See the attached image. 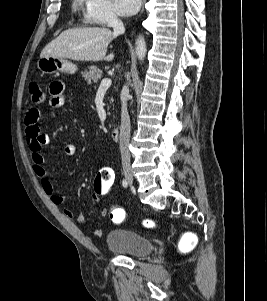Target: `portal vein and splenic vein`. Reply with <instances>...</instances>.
Segmentation results:
<instances>
[{
    "label": "portal vein and splenic vein",
    "mask_w": 267,
    "mask_h": 301,
    "mask_svg": "<svg viewBox=\"0 0 267 301\" xmlns=\"http://www.w3.org/2000/svg\"><path fill=\"white\" fill-rule=\"evenodd\" d=\"M111 83H112L111 79H109V78L103 79L99 86V90L100 89H108L111 86Z\"/></svg>",
    "instance_id": "portal-vein-and-splenic-vein-1"
}]
</instances>
